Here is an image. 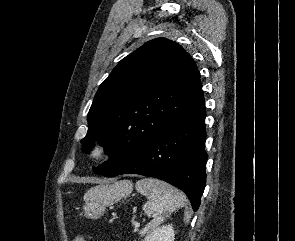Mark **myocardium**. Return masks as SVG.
<instances>
[{"mask_svg": "<svg viewBox=\"0 0 295 241\" xmlns=\"http://www.w3.org/2000/svg\"><path fill=\"white\" fill-rule=\"evenodd\" d=\"M112 152L111 145L103 140L94 142L87 151V157L93 162L107 158Z\"/></svg>", "mask_w": 295, "mask_h": 241, "instance_id": "obj_1", "label": "myocardium"}]
</instances>
